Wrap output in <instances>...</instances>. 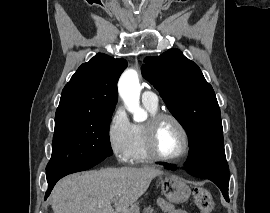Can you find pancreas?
<instances>
[{
    "mask_svg": "<svg viewBox=\"0 0 270 213\" xmlns=\"http://www.w3.org/2000/svg\"><path fill=\"white\" fill-rule=\"evenodd\" d=\"M143 213H154V209L151 206H148L143 209Z\"/></svg>",
    "mask_w": 270,
    "mask_h": 213,
    "instance_id": "cf45deb5",
    "label": "pancreas"
}]
</instances>
